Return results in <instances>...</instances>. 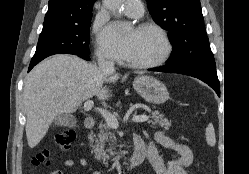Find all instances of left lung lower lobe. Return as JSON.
Here are the masks:
<instances>
[{
  "instance_id": "0a47b994",
  "label": "left lung lower lobe",
  "mask_w": 249,
  "mask_h": 174,
  "mask_svg": "<svg viewBox=\"0 0 249 174\" xmlns=\"http://www.w3.org/2000/svg\"><path fill=\"white\" fill-rule=\"evenodd\" d=\"M152 70L159 72L179 73L198 78L212 87L217 95L220 96V83L217 77L216 65H195L182 69H174L166 65L165 67Z\"/></svg>"
}]
</instances>
